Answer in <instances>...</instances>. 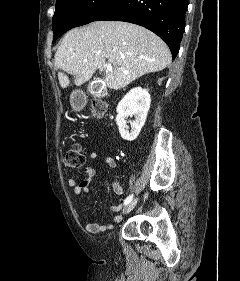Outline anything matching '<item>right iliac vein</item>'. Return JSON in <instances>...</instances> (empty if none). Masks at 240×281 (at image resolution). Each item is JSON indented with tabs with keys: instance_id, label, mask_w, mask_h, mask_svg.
<instances>
[{
	"instance_id": "right-iliac-vein-1",
	"label": "right iliac vein",
	"mask_w": 240,
	"mask_h": 281,
	"mask_svg": "<svg viewBox=\"0 0 240 281\" xmlns=\"http://www.w3.org/2000/svg\"><path fill=\"white\" fill-rule=\"evenodd\" d=\"M138 202V199H134L133 201H131L130 203H128L122 210V213L124 215L128 214L130 211L133 210V208L136 206Z\"/></svg>"
}]
</instances>
